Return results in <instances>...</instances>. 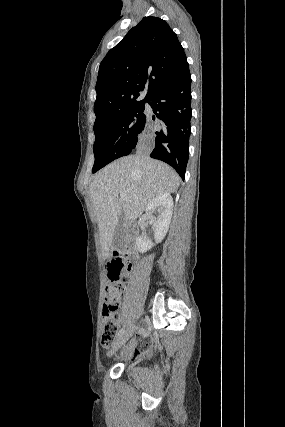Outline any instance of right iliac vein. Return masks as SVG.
<instances>
[{"label": "right iliac vein", "mask_w": 285, "mask_h": 427, "mask_svg": "<svg viewBox=\"0 0 285 427\" xmlns=\"http://www.w3.org/2000/svg\"><path fill=\"white\" fill-rule=\"evenodd\" d=\"M134 330H135V325H132L126 332H124L117 339V341L112 346L109 356H111L115 351H117L120 347H122V345L125 344V342L132 336Z\"/></svg>", "instance_id": "obj_1"}]
</instances>
